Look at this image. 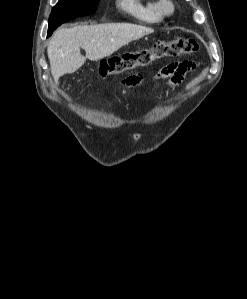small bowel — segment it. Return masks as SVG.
Masks as SVG:
<instances>
[{"instance_id":"1","label":"small bowel","mask_w":247,"mask_h":299,"mask_svg":"<svg viewBox=\"0 0 247 299\" xmlns=\"http://www.w3.org/2000/svg\"><path fill=\"white\" fill-rule=\"evenodd\" d=\"M194 64L189 61L171 63L162 68L154 77L155 81H165L169 85H177L194 69ZM140 76L133 75L124 80V85L134 86L140 82Z\"/></svg>"}]
</instances>
